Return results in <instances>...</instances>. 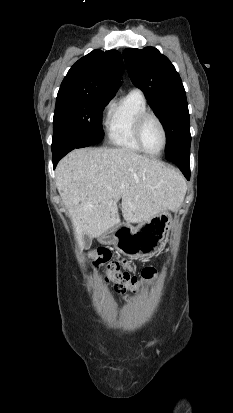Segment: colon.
<instances>
[{"label": "colon", "instance_id": "5ec220e1", "mask_svg": "<svg viewBox=\"0 0 233 413\" xmlns=\"http://www.w3.org/2000/svg\"><path fill=\"white\" fill-rule=\"evenodd\" d=\"M90 257L97 267L104 269L105 278L113 282L117 291L121 293L136 290L143 283H152L156 277V270L153 267H145L140 277L122 271L120 263L112 259L110 250L106 248L91 252Z\"/></svg>", "mask_w": 233, "mask_h": 413}]
</instances>
